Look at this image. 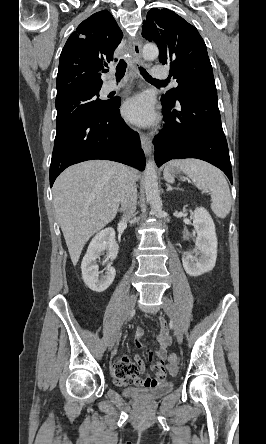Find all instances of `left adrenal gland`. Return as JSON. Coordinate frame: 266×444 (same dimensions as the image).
<instances>
[{
    "label": "left adrenal gland",
    "mask_w": 266,
    "mask_h": 444,
    "mask_svg": "<svg viewBox=\"0 0 266 444\" xmlns=\"http://www.w3.org/2000/svg\"><path fill=\"white\" fill-rule=\"evenodd\" d=\"M167 191L177 190L179 188L172 187L170 184L166 183Z\"/></svg>",
    "instance_id": "obj_1"
}]
</instances>
